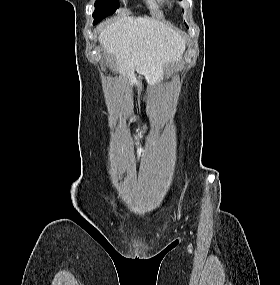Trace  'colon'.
<instances>
[{
    "instance_id": "5ec220e1",
    "label": "colon",
    "mask_w": 280,
    "mask_h": 285,
    "mask_svg": "<svg viewBox=\"0 0 280 285\" xmlns=\"http://www.w3.org/2000/svg\"><path fill=\"white\" fill-rule=\"evenodd\" d=\"M148 126H144L142 128H139L136 132V135L138 138H143L148 133Z\"/></svg>"
}]
</instances>
